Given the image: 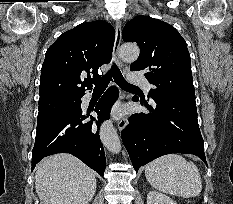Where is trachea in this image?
<instances>
[{"label": "trachea", "mask_w": 233, "mask_h": 204, "mask_svg": "<svg viewBox=\"0 0 233 204\" xmlns=\"http://www.w3.org/2000/svg\"><path fill=\"white\" fill-rule=\"evenodd\" d=\"M112 77L117 85L124 90L138 88L132 84H129L124 79L120 69L115 64L112 65L111 69L104 76L99 79H92L91 82L95 85V90H104L108 86L110 80H112Z\"/></svg>", "instance_id": "trachea-1"}]
</instances>
